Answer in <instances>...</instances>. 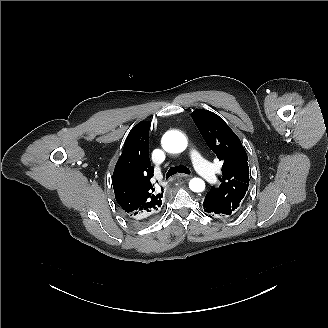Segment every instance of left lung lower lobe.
Returning a JSON list of instances; mask_svg holds the SVG:
<instances>
[{"label": "left lung lower lobe", "mask_w": 328, "mask_h": 328, "mask_svg": "<svg viewBox=\"0 0 328 328\" xmlns=\"http://www.w3.org/2000/svg\"><path fill=\"white\" fill-rule=\"evenodd\" d=\"M203 208L204 211L211 214V215H226L225 213H223L222 211H220L219 209H217L213 204H211L208 200H204L203 202Z\"/></svg>", "instance_id": "0a47b994"}]
</instances>
